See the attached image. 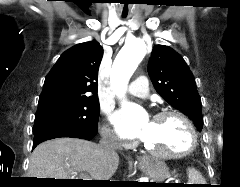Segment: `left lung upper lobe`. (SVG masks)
Listing matches in <instances>:
<instances>
[{
	"instance_id": "left-lung-upper-lobe-1",
	"label": "left lung upper lobe",
	"mask_w": 240,
	"mask_h": 187,
	"mask_svg": "<svg viewBox=\"0 0 240 187\" xmlns=\"http://www.w3.org/2000/svg\"><path fill=\"white\" fill-rule=\"evenodd\" d=\"M148 74L158 94L172 107L187 115L201 131V99L195 78L182 56L169 46H154Z\"/></svg>"
}]
</instances>
